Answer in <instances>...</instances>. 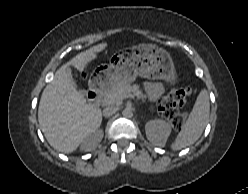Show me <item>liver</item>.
I'll return each mask as SVG.
<instances>
[{
  "label": "liver",
  "mask_w": 248,
  "mask_h": 194,
  "mask_svg": "<svg viewBox=\"0 0 248 194\" xmlns=\"http://www.w3.org/2000/svg\"><path fill=\"white\" fill-rule=\"evenodd\" d=\"M106 45L93 46L62 65L42 92L38 109L39 126L48 143L59 152H74L101 125V110L87 104L86 98L71 83L67 68L74 66L80 72L84 71Z\"/></svg>",
  "instance_id": "1"
}]
</instances>
